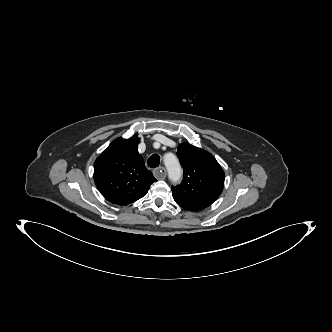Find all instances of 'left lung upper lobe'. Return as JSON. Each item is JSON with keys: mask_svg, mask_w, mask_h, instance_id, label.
Listing matches in <instances>:
<instances>
[{"mask_svg": "<svg viewBox=\"0 0 332 332\" xmlns=\"http://www.w3.org/2000/svg\"><path fill=\"white\" fill-rule=\"evenodd\" d=\"M183 167V181L172 187L177 204L188 211H199L210 206L221 194L225 174L216 159L207 151L189 143L177 150Z\"/></svg>", "mask_w": 332, "mask_h": 332, "instance_id": "obj_1", "label": "left lung upper lobe"}]
</instances>
